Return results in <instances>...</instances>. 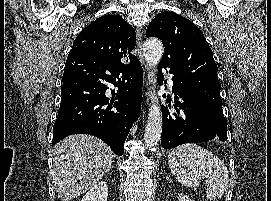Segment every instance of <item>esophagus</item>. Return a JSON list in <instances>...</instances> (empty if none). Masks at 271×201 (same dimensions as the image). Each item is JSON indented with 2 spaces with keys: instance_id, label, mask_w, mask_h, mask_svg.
Masks as SVG:
<instances>
[{
  "instance_id": "esophagus-1",
  "label": "esophagus",
  "mask_w": 271,
  "mask_h": 201,
  "mask_svg": "<svg viewBox=\"0 0 271 201\" xmlns=\"http://www.w3.org/2000/svg\"><path fill=\"white\" fill-rule=\"evenodd\" d=\"M142 45H143V41H142V32L141 30H137V51H138V57L141 61V63L144 65L145 70L147 71V85H150L152 83V75L151 73L148 71V67L145 63V59L143 56V51H142ZM147 95V102H149V97L148 94Z\"/></svg>"
}]
</instances>
